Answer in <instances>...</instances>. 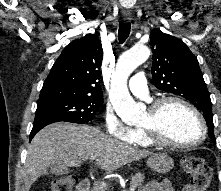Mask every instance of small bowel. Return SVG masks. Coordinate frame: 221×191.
I'll use <instances>...</instances> for the list:
<instances>
[{
    "instance_id": "small-bowel-1",
    "label": "small bowel",
    "mask_w": 221,
    "mask_h": 191,
    "mask_svg": "<svg viewBox=\"0 0 221 191\" xmlns=\"http://www.w3.org/2000/svg\"><path fill=\"white\" fill-rule=\"evenodd\" d=\"M139 191H175V189L169 180H164L148 182Z\"/></svg>"
}]
</instances>
